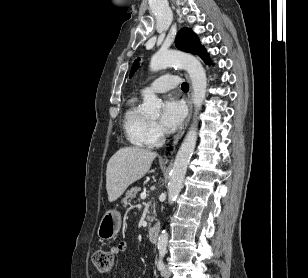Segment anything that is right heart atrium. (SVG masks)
<instances>
[{
  "label": "right heart atrium",
  "instance_id": "d8ad5b80",
  "mask_svg": "<svg viewBox=\"0 0 308 278\" xmlns=\"http://www.w3.org/2000/svg\"><path fill=\"white\" fill-rule=\"evenodd\" d=\"M148 139L151 146L159 145L163 139V131L155 122H150Z\"/></svg>",
  "mask_w": 308,
  "mask_h": 278
}]
</instances>
